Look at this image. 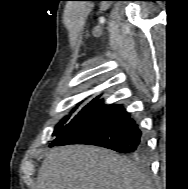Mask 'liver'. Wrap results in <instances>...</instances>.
<instances>
[{
	"label": "liver",
	"instance_id": "6515ba94",
	"mask_svg": "<svg viewBox=\"0 0 188 189\" xmlns=\"http://www.w3.org/2000/svg\"><path fill=\"white\" fill-rule=\"evenodd\" d=\"M33 189H152L132 161L95 146L55 147L46 155Z\"/></svg>",
	"mask_w": 188,
	"mask_h": 189
}]
</instances>
